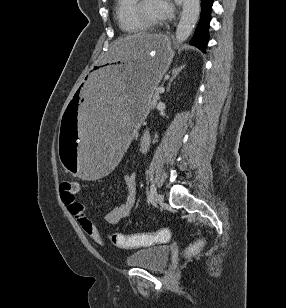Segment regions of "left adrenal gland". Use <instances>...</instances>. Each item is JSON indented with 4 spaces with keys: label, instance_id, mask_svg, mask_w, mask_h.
<instances>
[{
    "label": "left adrenal gland",
    "instance_id": "left-adrenal-gland-1",
    "mask_svg": "<svg viewBox=\"0 0 286 308\" xmlns=\"http://www.w3.org/2000/svg\"><path fill=\"white\" fill-rule=\"evenodd\" d=\"M184 68V66L178 67V68H173L172 69V77L168 82V86H167V92L170 90L171 87V83L173 82V80L177 77V75L182 71V69Z\"/></svg>",
    "mask_w": 286,
    "mask_h": 308
}]
</instances>
